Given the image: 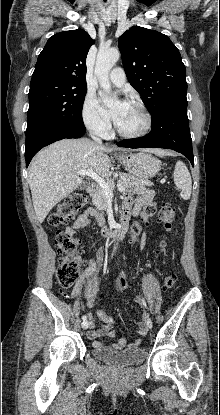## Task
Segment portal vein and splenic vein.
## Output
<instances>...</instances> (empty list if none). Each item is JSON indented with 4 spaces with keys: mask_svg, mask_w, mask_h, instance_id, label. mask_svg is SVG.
<instances>
[{
    "mask_svg": "<svg viewBox=\"0 0 220 415\" xmlns=\"http://www.w3.org/2000/svg\"><path fill=\"white\" fill-rule=\"evenodd\" d=\"M78 175H82V176H88L90 178H92L93 180H95L99 186L102 188V190L104 191L105 195L107 197H112L113 196V186L111 184H109L108 181L104 180L102 177H100L98 174H96L94 171L87 169V170H80L77 172ZM118 191L119 192H124L125 191V187L122 185H118Z\"/></svg>",
    "mask_w": 220,
    "mask_h": 415,
    "instance_id": "obj_1",
    "label": "portal vein and splenic vein"
}]
</instances>
